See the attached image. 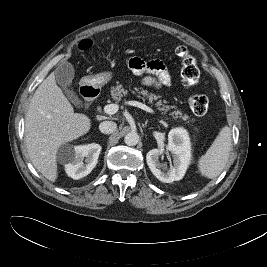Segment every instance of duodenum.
Returning a JSON list of instances; mask_svg holds the SVG:
<instances>
[{
    "label": "duodenum",
    "instance_id": "duodenum-1",
    "mask_svg": "<svg viewBox=\"0 0 267 267\" xmlns=\"http://www.w3.org/2000/svg\"><path fill=\"white\" fill-rule=\"evenodd\" d=\"M81 92L87 100H95L99 94V90L92 84H84L81 87Z\"/></svg>",
    "mask_w": 267,
    "mask_h": 267
}]
</instances>
